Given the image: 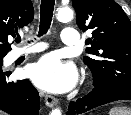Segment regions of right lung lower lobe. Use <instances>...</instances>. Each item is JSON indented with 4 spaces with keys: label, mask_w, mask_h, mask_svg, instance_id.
<instances>
[{
    "label": "right lung lower lobe",
    "mask_w": 131,
    "mask_h": 115,
    "mask_svg": "<svg viewBox=\"0 0 131 115\" xmlns=\"http://www.w3.org/2000/svg\"><path fill=\"white\" fill-rule=\"evenodd\" d=\"M9 74L0 70V109L10 115H38L40 98L37 90L28 79L8 82Z\"/></svg>",
    "instance_id": "right-lung-lower-lobe-1"
}]
</instances>
